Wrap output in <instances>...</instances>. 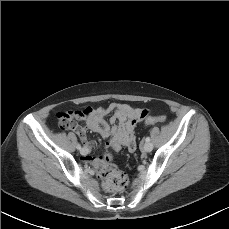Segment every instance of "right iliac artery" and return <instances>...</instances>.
<instances>
[{"label":"right iliac artery","instance_id":"82829eb1","mask_svg":"<svg viewBox=\"0 0 229 229\" xmlns=\"http://www.w3.org/2000/svg\"><path fill=\"white\" fill-rule=\"evenodd\" d=\"M76 148H77L78 150H80V149H81V145H80V144H77Z\"/></svg>","mask_w":229,"mask_h":229}]
</instances>
